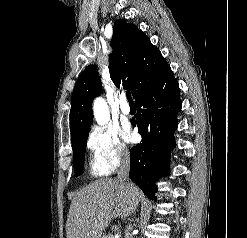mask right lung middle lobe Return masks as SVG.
Returning a JSON list of instances; mask_svg holds the SVG:
<instances>
[{
	"label": "right lung middle lobe",
	"mask_w": 247,
	"mask_h": 238,
	"mask_svg": "<svg viewBox=\"0 0 247 238\" xmlns=\"http://www.w3.org/2000/svg\"><path fill=\"white\" fill-rule=\"evenodd\" d=\"M88 134L72 145L73 162L76 176L81 175L84 167V154L86 151Z\"/></svg>",
	"instance_id": "obj_1"
}]
</instances>
